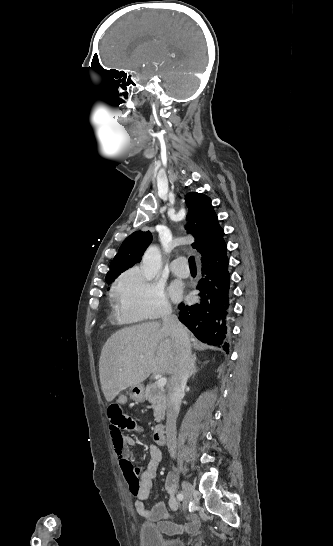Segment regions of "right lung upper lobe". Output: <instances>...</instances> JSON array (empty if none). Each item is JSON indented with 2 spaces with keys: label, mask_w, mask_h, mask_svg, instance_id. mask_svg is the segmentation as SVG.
I'll return each mask as SVG.
<instances>
[{
  "label": "right lung upper lobe",
  "mask_w": 333,
  "mask_h": 546,
  "mask_svg": "<svg viewBox=\"0 0 333 546\" xmlns=\"http://www.w3.org/2000/svg\"><path fill=\"white\" fill-rule=\"evenodd\" d=\"M188 207L186 229L195 237L192 244L201 254V260H208L222 245L224 231L211 205V199L202 193L190 192L185 197ZM152 242L149 231H137L127 237L110 263L107 275L132 267L141 261L146 248ZM106 275V276H107Z\"/></svg>",
  "instance_id": "obj_1"
}]
</instances>
